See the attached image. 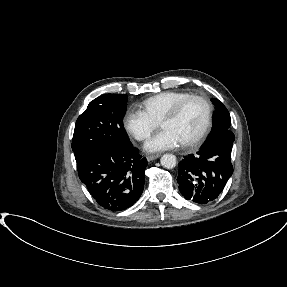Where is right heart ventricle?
<instances>
[{"mask_svg": "<svg viewBox=\"0 0 287 287\" xmlns=\"http://www.w3.org/2000/svg\"><path fill=\"white\" fill-rule=\"evenodd\" d=\"M188 95L190 94L183 91H164L143 100L141 108L154 121H159L175 103Z\"/></svg>", "mask_w": 287, "mask_h": 287, "instance_id": "obj_1", "label": "right heart ventricle"}]
</instances>
